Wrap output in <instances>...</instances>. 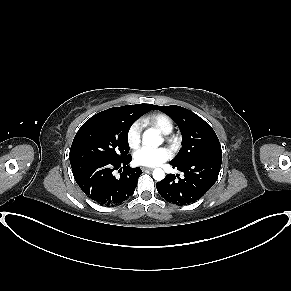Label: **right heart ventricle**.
Masks as SVG:
<instances>
[{"label": "right heart ventricle", "mask_w": 291, "mask_h": 291, "mask_svg": "<svg viewBox=\"0 0 291 291\" xmlns=\"http://www.w3.org/2000/svg\"><path fill=\"white\" fill-rule=\"evenodd\" d=\"M145 122L156 127L164 134H169L173 130L171 118L164 113H153L145 118Z\"/></svg>", "instance_id": "1"}]
</instances>
